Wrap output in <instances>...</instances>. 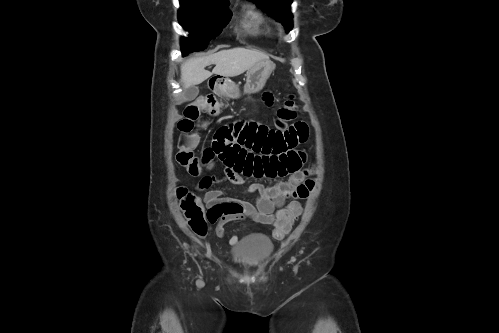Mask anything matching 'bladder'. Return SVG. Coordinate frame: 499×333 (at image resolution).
Wrapping results in <instances>:
<instances>
[{
  "label": "bladder",
  "mask_w": 499,
  "mask_h": 333,
  "mask_svg": "<svg viewBox=\"0 0 499 333\" xmlns=\"http://www.w3.org/2000/svg\"><path fill=\"white\" fill-rule=\"evenodd\" d=\"M273 250L271 239L264 234H254L239 242L230 251L233 259L246 268H260Z\"/></svg>",
  "instance_id": "1"
}]
</instances>
